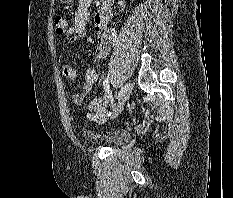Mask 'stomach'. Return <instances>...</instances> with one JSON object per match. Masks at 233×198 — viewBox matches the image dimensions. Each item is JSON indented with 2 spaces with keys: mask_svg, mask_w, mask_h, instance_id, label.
Here are the masks:
<instances>
[{
  "mask_svg": "<svg viewBox=\"0 0 233 198\" xmlns=\"http://www.w3.org/2000/svg\"><path fill=\"white\" fill-rule=\"evenodd\" d=\"M60 2H63V3H69L71 2L72 0H59Z\"/></svg>",
  "mask_w": 233,
  "mask_h": 198,
  "instance_id": "1",
  "label": "stomach"
}]
</instances>
